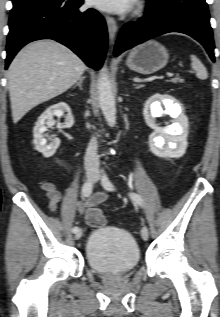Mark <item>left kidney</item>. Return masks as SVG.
<instances>
[{
    "label": "left kidney",
    "mask_w": 220,
    "mask_h": 317,
    "mask_svg": "<svg viewBox=\"0 0 220 317\" xmlns=\"http://www.w3.org/2000/svg\"><path fill=\"white\" fill-rule=\"evenodd\" d=\"M165 113L174 118L171 125L160 127L155 118ZM143 115L147 126L154 129L149 136L150 151L159 157L179 158L187 149L188 119L180 104L170 95L155 93L146 101Z\"/></svg>",
    "instance_id": "obj_1"
}]
</instances>
